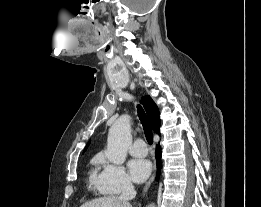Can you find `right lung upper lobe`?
I'll return each mask as SVG.
<instances>
[{"label":"right lung upper lobe","instance_id":"cb5924a9","mask_svg":"<svg viewBox=\"0 0 261 207\" xmlns=\"http://www.w3.org/2000/svg\"><path fill=\"white\" fill-rule=\"evenodd\" d=\"M141 104L143 105V107H144V109H145V111L147 113V116H148L151 128L157 134H160L159 128H160L161 121L159 119V110H158L157 105L154 103V101L148 95L142 97ZM88 145H89V143L85 147L84 151L86 150Z\"/></svg>","mask_w":261,"mask_h":207}]
</instances>
